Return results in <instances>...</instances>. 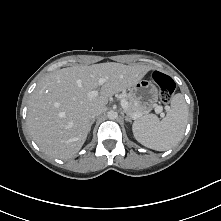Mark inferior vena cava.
<instances>
[{
    "label": "inferior vena cava",
    "mask_w": 221,
    "mask_h": 221,
    "mask_svg": "<svg viewBox=\"0 0 221 221\" xmlns=\"http://www.w3.org/2000/svg\"><path fill=\"white\" fill-rule=\"evenodd\" d=\"M104 112L103 108H97L95 109L92 114H91V118H95L96 116H99L100 114H102Z\"/></svg>",
    "instance_id": "inferior-vena-cava-1"
}]
</instances>
